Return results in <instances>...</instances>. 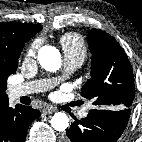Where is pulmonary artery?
<instances>
[{
    "label": "pulmonary artery",
    "mask_w": 142,
    "mask_h": 142,
    "mask_svg": "<svg viewBox=\"0 0 142 142\" xmlns=\"http://www.w3.org/2000/svg\"><path fill=\"white\" fill-rule=\"evenodd\" d=\"M83 63V59L74 56H65L64 58V72L63 75L58 79H43L38 81L26 82L10 87L9 96L11 99H17L21 96L28 95L44 91L48 88L53 87L60 80L67 78L73 72H75ZM80 117L87 116V109H82L79 112Z\"/></svg>",
    "instance_id": "e3ab8cb5"
}]
</instances>
